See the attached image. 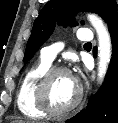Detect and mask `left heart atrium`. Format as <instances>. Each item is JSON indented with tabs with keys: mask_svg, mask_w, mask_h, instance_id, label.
Wrapping results in <instances>:
<instances>
[{
	"mask_svg": "<svg viewBox=\"0 0 118 123\" xmlns=\"http://www.w3.org/2000/svg\"><path fill=\"white\" fill-rule=\"evenodd\" d=\"M73 81L77 84V78L75 76H71Z\"/></svg>",
	"mask_w": 118,
	"mask_h": 123,
	"instance_id": "39dd6f15",
	"label": "left heart atrium"
}]
</instances>
